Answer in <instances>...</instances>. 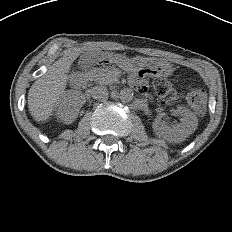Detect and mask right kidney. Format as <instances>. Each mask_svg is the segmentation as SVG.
Masks as SVG:
<instances>
[{"label":"right kidney","instance_id":"right-kidney-1","mask_svg":"<svg viewBox=\"0 0 232 232\" xmlns=\"http://www.w3.org/2000/svg\"><path fill=\"white\" fill-rule=\"evenodd\" d=\"M78 111L71 91L64 92L54 104L55 116L58 120L67 124L74 121Z\"/></svg>","mask_w":232,"mask_h":232}]
</instances>
